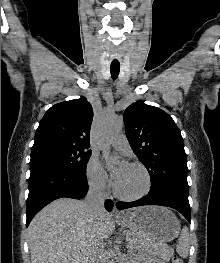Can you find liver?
Returning a JSON list of instances; mask_svg holds the SVG:
<instances>
[{
    "mask_svg": "<svg viewBox=\"0 0 220 263\" xmlns=\"http://www.w3.org/2000/svg\"><path fill=\"white\" fill-rule=\"evenodd\" d=\"M112 231L113 219L107 211L90 216L84 201L57 199L28 227L31 263H90L97 244Z\"/></svg>",
    "mask_w": 220,
    "mask_h": 263,
    "instance_id": "obj_1",
    "label": "liver"
}]
</instances>
